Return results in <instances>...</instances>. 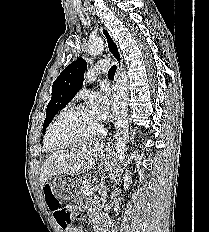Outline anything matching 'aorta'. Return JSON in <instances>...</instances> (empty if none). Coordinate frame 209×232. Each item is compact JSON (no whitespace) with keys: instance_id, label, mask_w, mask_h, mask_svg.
I'll use <instances>...</instances> for the list:
<instances>
[{"instance_id":"obj_1","label":"aorta","mask_w":209,"mask_h":232,"mask_svg":"<svg viewBox=\"0 0 209 232\" xmlns=\"http://www.w3.org/2000/svg\"><path fill=\"white\" fill-rule=\"evenodd\" d=\"M104 49V42L102 38H92L88 42V52L91 55H98ZM127 89H128V76L125 71H121L115 79L113 85L114 90V103L113 110L115 114L114 127H115V159L113 162V169L117 175L124 164L125 152L127 143L129 142V123H128V108H127Z\"/></svg>"}]
</instances>
